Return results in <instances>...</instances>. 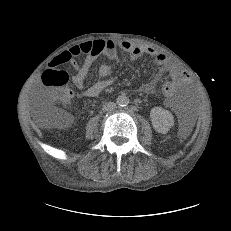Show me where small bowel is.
<instances>
[{
	"instance_id": "small-bowel-1",
	"label": "small bowel",
	"mask_w": 231,
	"mask_h": 231,
	"mask_svg": "<svg viewBox=\"0 0 231 231\" xmlns=\"http://www.w3.org/2000/svg\"><path fill=\"white\" fill-rule=\"evenodd\" d=\"M118 47L132 57H140L143 55L153 57L158 66L170 73L172 79L176 83V88L185 86L189 81L186 71L179 65L171 62L163 52L157 51L152 47L137 45L129 41L119 42ZM61 55L67 57L62 63H69L76 70L75 74L72 76V82L78 89L83 90L82 95L84 97H95L113 83L111 68L107 64H102L98 70L99 79L85 88L87 75L96 57L104 55L110 60H114L117 57L116 44L113 41L95 40L73 46L53 59L50 63V67L58 65ZM80 55H85L84 61L81 64L76 61V58ZM159 78L160 77H157L156 80H159ZM154 87L155 81L150 82L144 86V91L150 93L154 90ZM164 102L166 106L173 107L175 104L174 95L171 97L165 95Z\"/></svg>"
}]
</instances>
